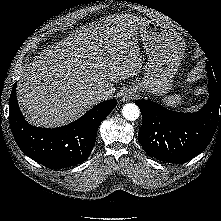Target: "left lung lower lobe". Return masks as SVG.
Here are the masks:
<instances>
[{
	"instance_id": "0a47b994",
	"label": "left lung lower lobe",
	"mask_w": 221,
	"mask_h": 221,
	"mask_svg": "<svg viewBox=\"0 0 221 221\" xmlns=\"http://www.w3.org/2000/svg\"><path fill=\"white\" fill-rule=\"evenodd\" d=\"M206 65L209 99L198 112L179 113L152 101H135L143 118L138 139L149 156L159 161L185 163L202 153L221 127V83L215 80L211 66Z\"/></svg>"
}]
</instances>
